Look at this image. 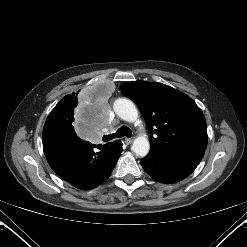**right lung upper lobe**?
Listing matches in <instances>:
<instances>
[{"label":"right lung upper lobe","mask_w":247,"mask_h":247,"mask_svg":"<svg viewBox=\"0 0 247 247\" xmlns=\"http://www.w3.org/2000/svg\"><path fill=\"white\" fill-rule=\"evenodd\" d=\"M77 98V94L73 93L72 95L65 96L57 105H62L64 103L74 101Z\"/></svg>","instance_id":"obj_1"}]
</instances>
